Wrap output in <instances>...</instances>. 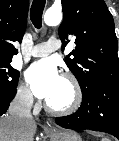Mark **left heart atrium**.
I'll return each instance as SVG.
<instances>
[{
  "label": "left heart atrium",
  "mask_w": 119,
  "mask_h": 141,
  "mask_svg": "<svg viewBox=\"0 0 119 141\" xmlns=\"http://www.w3.org/2000/svg\"><path fill=\"white\" fill-rule=\"evenodd\" d=\"M27 79L35 95L48 100L56 91L61 76L55 61L43 60L34 63L28 69Z\"/></svg>",
  "instance_id": "1"
}]
</instances>
